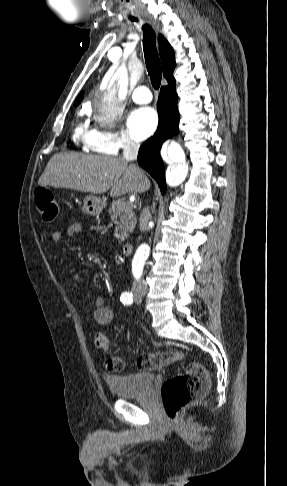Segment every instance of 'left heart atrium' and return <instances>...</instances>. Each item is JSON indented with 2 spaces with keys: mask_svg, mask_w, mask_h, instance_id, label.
<instances>
[{
  "mask_svg": "<svg viewBox=\"0 0 287 486\" xmlns=\"http://www.w3.org/2000/svg\"><path fill=\"white\" fill-rule=\"evenodd\" d=\"M158 117L151 107L137 108L128 117V128L134 139L140 141L149 137L156 129Z\"/></svg>",
  "mask_w": 287,
  "mask_h": 486,
  "instance_id": "1",
  "label": "left heart atrium"
}]
</instances>
